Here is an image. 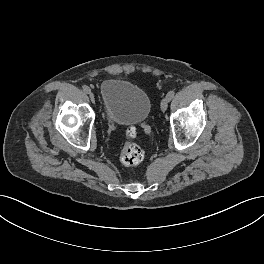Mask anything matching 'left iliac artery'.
<instances>
[{"instance_id": "44dca946", "label": "left iliac artery", "mask_w": 264, "mask_h": 264, "mask_svg": "<svg viewBox=\"0 0 264 264\" xmlns=\"http://www.w3.org/2000/svg\"><path fill=\"white\" fill-rule=\"evenodd\" d=\"M174 97V91H169L166 95V98L170 101Z\"/></svg>"}]
</instances>
